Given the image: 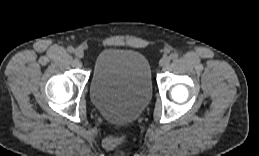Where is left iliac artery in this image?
Here are the masks:
<instances>
[{
    "label": "left iliac artery",
    "mask_w": 259,
    "mask_h": 156,
    "mask_svg": "<svg viewBox=\"0 0 259 156\" xmlns=\"http://www.w3.org/2000/svg\"><path fill=\"white\" fill-rule=\"evenodd\" d=\"M170 58L173 59V60H176L178 58V54L177 53H172L170 55Z\"/></svg>",
    "instance_id": "1"
}]
</instances>
